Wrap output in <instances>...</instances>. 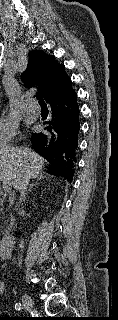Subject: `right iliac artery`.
<instances>
[{"instance_id":"82829eb1","label":"right iliac artery","mask_w":118,"mask_h":320,"mask_svg":"<svg viewBox=\"0 0 118 320\" xmlns=\"http://www.w3.org/2000/svg\"><path fill=\"white\" fill-rule=\"evenodd\" d=\"M15 309L18 310V311L21 310L22 309V304L21 303H16L15 304Z\"/></svg>"}]
</instances>
